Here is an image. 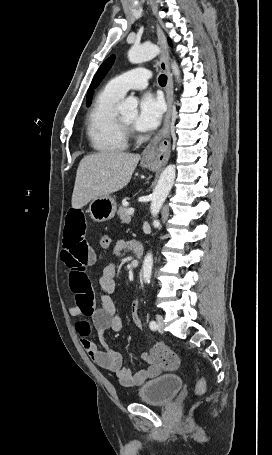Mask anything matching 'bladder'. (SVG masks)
Returning a JSON list of instances; mask_svg holds the SVG:
<instances>
[{
  "mask_svg": "<svg viewBox=\"0 0 272 455\" xmlns=\"http://www.w3.org/2000/svg\"><path fill=\"white\" fill-rule=\"evenodd\" d=\"M183 385L180 376L174 373L161 374L144 383L137 392L138 399L150 405L169 403Z\"/></svg>",
  "mask_w": 272,
  "mask_h": 455,
  "instance_id": "obj_1",
  "label": "bladder"
}]
</instances>
